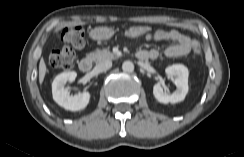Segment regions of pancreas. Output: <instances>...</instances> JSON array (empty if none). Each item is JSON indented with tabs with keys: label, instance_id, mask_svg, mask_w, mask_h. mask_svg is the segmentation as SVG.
<instances>
[{
	"label": "pancreas",
	"instance_id": "pancreas-1",
	"mask_svg": "<svg viewBox=\"0 0 244 157\" xmlns=\"http://www.w3.org/2000/svg\"><path fill=\"white\" fill-rule=\"evenodd\" d=\"M119 56L111 53L109 50H97L89 55V58H91L95 62H101L104 60H113L117 59Z\"/></svg>",
	"mask_w": 244,
	"mask_h": 157
}]
</instances>
